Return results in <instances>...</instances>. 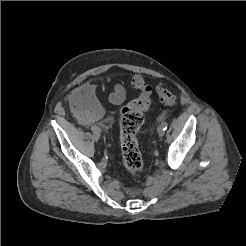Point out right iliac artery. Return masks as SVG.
I'll list each match as a JSON object with an SVG mask.
<instances>
[{"label": "right iliac artery", "mask_w": 246, "mask_h": 246, "mask_svg": "<svg viewBox=\"0 0 246 246\" xmlns=\"http://www.w3.org/2000/svg\"><path fill=\"white\" fill-rule=\"evenodd\" d=\"M91 130H92L93 132H100V129H99L97 126H92V127H91Z\"/></svg>", "instance_id": "1"}]
</instances>
